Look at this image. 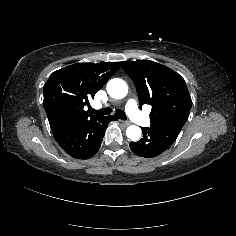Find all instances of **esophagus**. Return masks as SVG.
Instances as JSON below:
<instances>
[{"mask_svg": "<svg viewBox=\"0 0 236 236\" xmlns=\"http://www.w3.org/2000/svg\"><path fill=\"white\" fill-rule=\"evenodd\" d=\"M121 123H123L124 125L128 126L131 123L129 121H125V120H119Z\"/></svg>", "mask_w": 236, "mask_h": 236, "instance_id": "34e87169", "label": "esophagus"}]
</instances>
